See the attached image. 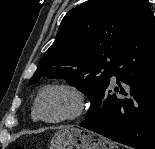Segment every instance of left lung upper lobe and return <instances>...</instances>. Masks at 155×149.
Listing matches in <instances>:
<instances>
[{
  "label": "left lung upper lobe",
  "mask_w": 155,
  "mask_h": 149,
  "mask_svg": "<svg viewBox=\"0 0 155 149\" xmlns=\"http://www.w3.org/2000/svg\"><path fill=\"white\" fill-rule=\"evenodd\" d=\"M148 0H88L61 21L29 84L64 78L92 100L110 80L114 61L145 17Z\"/></svg>",
  "instance_id": "1"
}]
</instances>
